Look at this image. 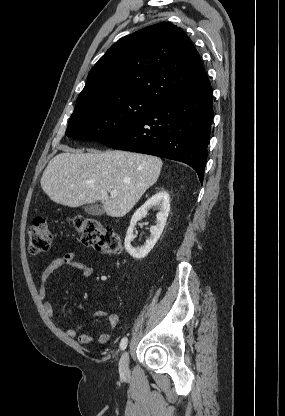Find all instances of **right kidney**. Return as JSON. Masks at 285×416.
<instances>
[{
	"label": "right kidney",
	"instance_id": "obj_1",
	"mask_svg": "<svg viewBox=\"0 0 285 416\" xmlns=\"http://www.w3.org/2000/svg\"><path fill=\"white\" fill-rule=\"evenodd\" d=\"M169 200L170 198L168 192H163L162 190V192H158V194H155V196L149 198V200H147V202H145V204H143V206H141V208L136 210L135 214H133L130 226L127 230L124 246L128 254L133 256L135 260H142V258H145V256L149 254L150 250L154 248L156 242H158L168 218L170 210ZM153 206H157L159 210L158 214H156L157 224L156 226H152V228H150L151 236L148 238V240H146L145 246H140V248H133V246H131V242L133 240V230L137 222H139L141 218H144L148 210L153 208Z\"/></svg>",
	"mask_w": 285,
	"mask_h": 416
}]
</instances>
